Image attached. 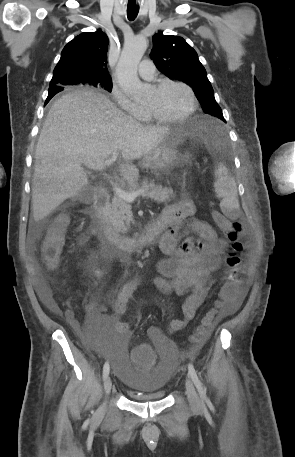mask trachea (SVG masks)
<instances>
[{
  "instance_id": "trachea-1",
  "label": "trachea",
  "mask_w": 295,
  "mask_h": 457,
  "mask_svg": "<svg viewBox=\"0 0 295 457\" xmlns=\"http://www.w3.org/2000/svg\"><path fill=\"white\" fill-rule=\"evenodd\" d=\"M138 11H139V10H138L136 4L133 5V6L128 5V7H127V16H128V19H129L130 21H133V20L137 17Z\"/></svg>"
}]
</instances>
